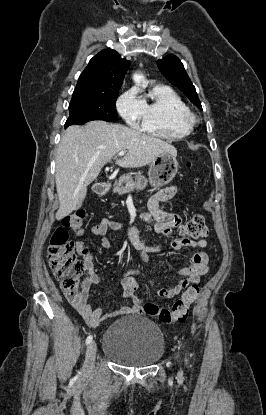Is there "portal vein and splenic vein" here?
Here are the masks:
<instances>
[{"instance_id":"1","label":"portal vein and splenic vein","mask_w":266,"mask_h":415,"mask_svg":"<svg viewBox=\"0 0 266 415\" xmlns=\"http://www.w3.org/2000/svg\"><path fill=\"white\" fill-rule=\"evenodd\" d=\"M124 154H125V151H119V152H118V155H119V156H123Z\"/></svg>"}]
</instances>
